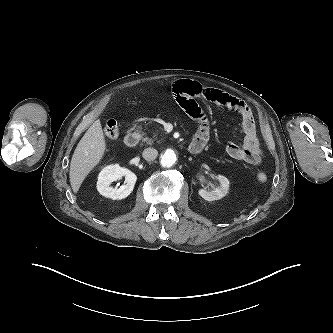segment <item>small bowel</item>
Listing matches in <instances>:
<instances>
[{
    "instance_id": "c3829d8e",
    "label": "small bowel",
    "mask_w": 333,
    "mask_h": 333,
    "mask_svg": "<svg viewBox=\"0 0 333 333\" xmlns=\"http://www.w3.org/2000/svg\"><path fill=\"white\" fill-rule=\"evenodd\" d=\"M173 94L180 106L198 123V129L192 141L206 144L209 140V125L204 112L197 103V99H204L241 117L244 133L243 143L239 145L235 142H229L226 146L228 155L250 165H258L261 162L262 152L255 120L250 107L244 101L219 89L203 86L191 80L176 82L173 85Z\"/></svg>"
}]
</instances>
